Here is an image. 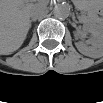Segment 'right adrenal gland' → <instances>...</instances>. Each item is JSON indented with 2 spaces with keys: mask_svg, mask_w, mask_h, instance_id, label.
<instances>
[{
  "mask_svg": "<svg viewBox=\"0 0 103 103\" xmlns=\"http://www.w3.org/2000/svg\"><path fill=\"white\" fill-rule=\"evenodd\" d=\"M34 20H30V24H29V26L31 27V23L33 22Z\"/></svg>",
  "mask_w": 103,
  "mask_h": 103,
  "instance_id": "right-adrenal-gland-1",
  "label": "right adrenal gland"
}]
</instances>
